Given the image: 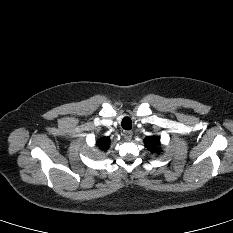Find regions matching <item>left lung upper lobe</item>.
Here are the masks:
<instances>
[{
    "instance_id": "5c2ea615",
    "label": "left lung upper lobe",
    "mask_w": 233,
    "mask_h": 233,
    "mask_svg": "<svg viewBox=\"0 0 233 233\" xmlns=\"http://www.w3.org/2000/svg\"><path fill=\"white\" fill-rule=\"evenodd\" d=\"M145 144L150 149V151L155 152L157 150V146L160 144V140L156 136L146 137Z\"/></svg>"
}]
</instances>
